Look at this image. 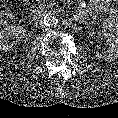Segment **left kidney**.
I'll return each mask as SVG.
<instances>
[{"instance_id":"5707ae66","label":"left kidney","mask_w":118,"mask_h":118,"mask_svg":"<svg viewBox=\"0 0 118 118\" xmlns=\"http://www.w3.org/2000/svg\"><path fill=\"white\" fill-rule=\"evenodd\" d=\"M100 35L107 40L109 49L104 52H96L99 60L113 61L118 58V38L107 30H101Z\"/></svg>"}]
</instances>
